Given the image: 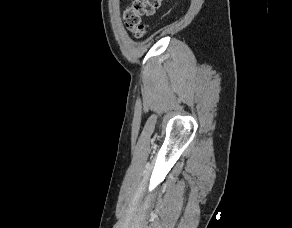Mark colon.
Listing matches in <instances>:
<instances>
[{
	"instance_id": "1",
	"label": "colon",
	"mask_w": 292,
	"mask_h": 228,
	"mask_svg": "<svg viewBox=\"0 0 292 228\" xmlns=\"http://www.w3.org/2000/svg\"><path fill=\"white\" fill-rule=\"evenodd\" d=\"M162 0H134L124 14L123 20L126 28L136 37L141 38L146 34L142 18L152 16L160 7Z\"/></svg>"
}]
</instances>
